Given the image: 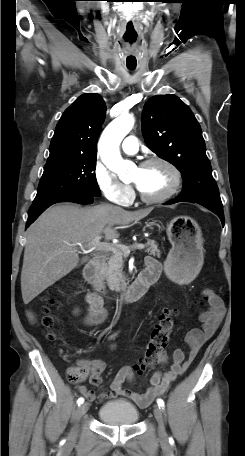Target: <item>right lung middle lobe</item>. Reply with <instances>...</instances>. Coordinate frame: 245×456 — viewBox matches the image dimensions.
I'll return each instance as SVG.
<instances>
[{"mask_svg":"<svg viewBox=\"0 0 245 456\" xmlns=\"http://www.w3.org/2000/svg\"><path fill=\"white\" fill-rule=\"evenodd\" d=\"M95 169L96 156L46 163L33 204L71 195L100 196Z\"/></svg>","mask_w":245,"mask_h":456,"instance_id":"1","label":"right lung middle lobe"}]
</instances>
